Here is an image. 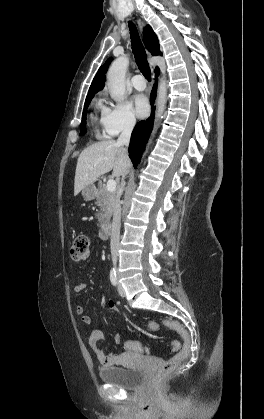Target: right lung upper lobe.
Returning a JSON list of instances; mask_svg holds the SVG:
<instances>
[{
    "mask_svg": "<svg viewBox=\"0 0 264 419\" xmlns=\"http://www.w3.org/2000/svg\"><path fill=\"white\" fill-rule=\"evenodd\" d=\"M144 36H145V44L148 48V50L151 52V54L153 56H157V55H162V53L160 52V47H159V41L158 38L156 36V34L154 33V31L152 30V28L147 25L144 29ZM112 61V57H110L109 59H107V61L99 68L97 74L95 75L93 82L90 86L88 95L86 97L87 99L93 98L94 94L97 93L98 91H100L104 85H105V74L108 70V67L110 65ZM159 70L158 67H156L155 71Z\"/></svg>",
    "mask_w": 264,
    "mask_h": 419,
    "instance_id": "cb5924a9",
    "label": "right lung upper lobe"
}]
</instances>
